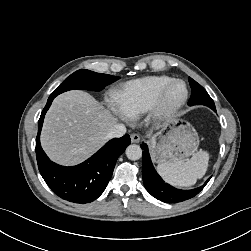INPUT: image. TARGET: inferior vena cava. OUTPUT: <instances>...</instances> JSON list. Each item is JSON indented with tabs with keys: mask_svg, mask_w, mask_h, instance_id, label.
Returning <instances> with one entry per match:
<instances>
[{
	"mask_svg": "<svg viewBox=\"0 0 251 251\" xmlns=\"http://www.w3.org/2000/svg\"><path fill=\"white\" fill-rule=\"evenodd\" d=\"M126 133V127L124 124H115L109 130L107 134V139L122 137Z\"/></svg>",
	"mask_w": 251,
	"mask_h": 251,
	"instance_id": "obj_1",
	"label": "inferior vena cava"
}]
</instances>
